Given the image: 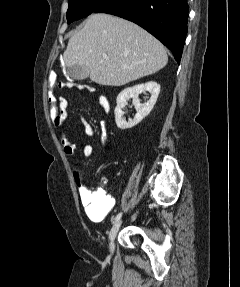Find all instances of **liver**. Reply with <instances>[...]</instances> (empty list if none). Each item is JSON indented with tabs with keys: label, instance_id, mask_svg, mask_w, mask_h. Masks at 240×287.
<instances>
[{
	"label": "liver",
	"instance_id": "obj_1",
	"mask_svg": "<svg viewBox=\"0 0 240 287\" xmlns=\"http://www.w3.org/2000/svg\"><path fill=\"white\" fill-rule=\"evenodd\" d=\"M63 60L66 67H87L95 83L122 86L161 70L168 57L162 43L140 26L101 13L69 39Z\"/></svg>",
	"mask_w": 240,
	"mask_h": 287
}]
</instances>
